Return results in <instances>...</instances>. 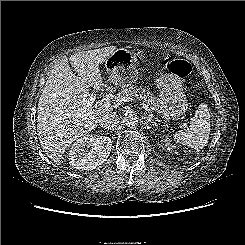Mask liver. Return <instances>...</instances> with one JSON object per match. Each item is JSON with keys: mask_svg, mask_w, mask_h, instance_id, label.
Wrapping results in <instances>:
<instances>
[{"mask_svg": "<svg viewBox=\"0 0 245 245\" xmlns=\"http://www.w3.org/2000/svg\"><path fill=\"white\" fill-rule=\"evenodd\" d=\"M115 50L116 46H109L81 51L55 62L39 98L37 132L43 150L56 165L62 164L65 150L76 139L91 132L102 116L112 112L107 97L96 103L89 116H76L88 100L89 85L96 90L104 86L99 65ZM68 60L78 76L71 71Z\"/></svg>", "mask_w": 245, "mask_h": 245, "instance_id": "obj_1", "label": "liver"}]
</instances>
